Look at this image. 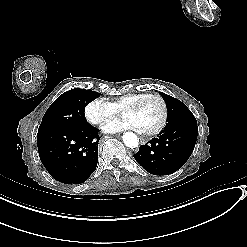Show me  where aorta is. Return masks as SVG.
Segmentation results:
<instances>
[{"label": "aorta", "mask_w": 247, "mask_h": 247, "mask_svg": "<svg viewBox=\"0 0 247 247\" xmlns=\"http://www.w3.org/2000/svg\"><path fill=\"white\" fill-rule=\"evenodd\" d=\"M123 142L127 147L135 148L138 146L139 139L133 132H126L123 135Z\"/></svg>", "instance_id": "762f6f07"}]
</instances>
